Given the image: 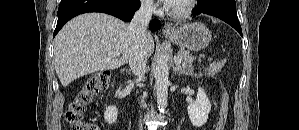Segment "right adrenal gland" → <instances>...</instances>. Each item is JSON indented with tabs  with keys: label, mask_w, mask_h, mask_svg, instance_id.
I'll return each instance as SVG.
<instances>
[{
	"label": "right adrenal gland",
	"mask_w": 299,
	"mask_h": 130,
	"mask_svg": "<svg viewBox=\"0 0 299 130\" xmlns=\"http://www.w3.org/2000/svg\"><path fill=\"white\" fill-rule=\"evenodd\" d=\"M124 70L126 71L127 74H129V75L131 74V70L130 69L129 70L128 69H124Z\"/></svg>",
	"instance_id": "obj_1"
}]
</instances>
